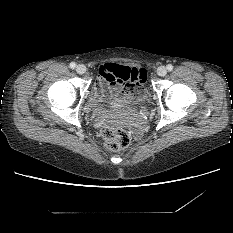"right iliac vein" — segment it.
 I'll list each match as a JSON object with an SVG mask.
<instances>
[{"mask_svg": "<svg viewBox=\"0 0 233 233\" xmlns=\"http://www.w3.org/2000/svg\"><path fill=\"white\" fill-rule=\"evenodd\" d=\"M76 72L78 74H84L86 72V67L83 65V64H79L77 67H76Z\"/></svg>", "mask_w": 233, "mask_h": 233, "instance_id": "obj_1", "label": "right iliac vein"}]
</instances>
